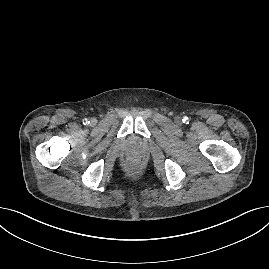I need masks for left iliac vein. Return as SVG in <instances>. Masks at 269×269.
I'll use <instances>...</instances> for the list:
<instances>
[{"label": "left iliac vein", "mask_w": 269, "mask_h": 269, "mask_svg": "<svg viewBox=\"0 0 269 269\" xmlns=\"http://www.w3.org/2000/svg\"><path fill=\"white\" fill-rule=\"evenodd\" d=\"M176 122L177 123H180L181 122L179 117L176 118Z\"/></svg>", "instance_id": "left-iliac-vein-1"}]
</instances>
